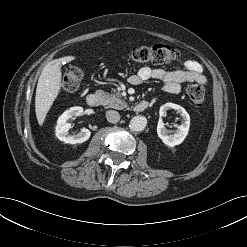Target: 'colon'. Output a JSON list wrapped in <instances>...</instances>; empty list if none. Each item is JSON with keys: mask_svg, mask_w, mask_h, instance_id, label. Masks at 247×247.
I'll return each instance as SVG.
<instances>
[{"mask_svg": "<svg viewBox=\"0 0 247 247\" xmlns=\"http://www.w3.org/2000/svg\"><path fill=\"white\" fill-rule=\"evenodd\" d=\"M132 61L141 64L169 65L177 58V51L163 43L135 46L130 51ZM83 71L79 67H70L62 77V88L73 93L79 88ZM187 95L195 106L202 105L205 90L201 84H192L187 88Z\"/></svg>", "mask_w": 247, "mask_h": 247, "instance_id": "5ec220e1", "label": "colon"}]
</instances>
